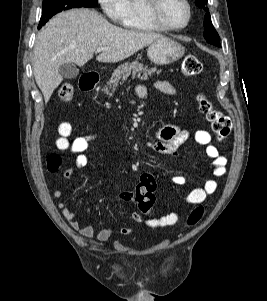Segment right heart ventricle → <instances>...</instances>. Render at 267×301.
Instances as JSON below:
<instances>
[{
	"label": "right heart ventricle",
	"mask_w": 267,
	"mask_h": 301,
	"mask_svg": "<svg viewBox=\"0 0 267 301\" xmlns=\"http://www.w3.org/2000/svg\"><path fill=\"white\" fill-rule=\"evenodd\" d=\"M146 5L147 0H126L127 15L123 24L125 28L143 32L164 31L151 20Z\"/></svg>",
	"instance_id": "e07e8e85"
}]
</instances>
